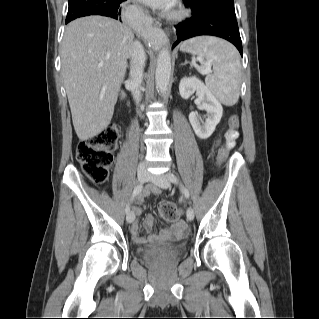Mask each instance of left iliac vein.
<instances>
[{
  "mask_svg": "<svg viewBox=\"0 0 319 319\" xmlns=\"http://www.w3.org/2000/svg\"><path fill=\"white\" fill-rule=\"evenodd\" d=\"M149 180L160 188L168 189L170 187V180L166 175H150ZM186 216L189 221L194 219V210L191 207H187Z\"/></svg>",
  "mask_w": 319,
  "mask_h": 319,
  "instance_id": "4c4485c4",
  "label": "left iliac vein"
}]
</instances>
